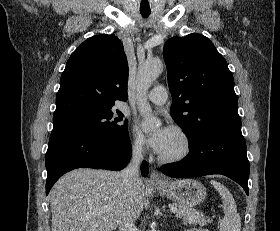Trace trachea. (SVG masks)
Returning a JSON list of instances; mask_svg holds the SVG:
<instances>
[{
  "label": "trachea",
  "mask_w": 280,
  "mask_h": 231,
  "mask_svg": "<svg viewBox=\"0 0 280 231\" xmlns=\"http://www.w3.org/2000/svg\"><path fill=\"white\" fill-rule=\"evenodd\" d=\"M140 13L141 15L144 17V18H147L149 15H150V11H143V10H140Z\"/></svg>",
  "instance_id": "3493384b"
}]
</instances>
